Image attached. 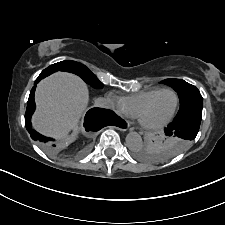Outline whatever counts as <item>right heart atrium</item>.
I'll list each match as a JSON object with an SVG mask.
<instances>
[{"instance_id":"right-heart-atrium-1","label":"right heart atrium","mask_w":225,"mask_h":225,"mask_svg":"<svg viewBox=\"0 0 225 225\" xmlns=\"http://www.w3.org/2000/svg\"><path fill=\"white\" fill-rule=\"evenodd\" d=\"M110 98L113 101L114 107L117 111L121 113H126L121 99H119L117 96L113 94H110Z\"/></svg>"}]
</instances>
